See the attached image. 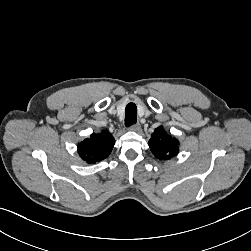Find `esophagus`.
I'll use <instances>...</instances> for the list:
<instances>
[{"label":"esophagus","mask_w":251,"mask_h":251,"mask_svg":"<svg viewBox=\"0 0 251 251\" xmlns=\"http://www.w3.org/2000/svg\"><path fill=\"white\" fill-rule=\"evenodd\" d=\"M129 129L132 130V131H135V132H139L141 130V127H140L139 124H133V125L130 126Z\"/></svg>","instance_id":"esophagus-1"}]
</instances>
